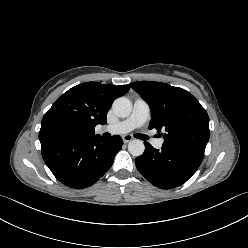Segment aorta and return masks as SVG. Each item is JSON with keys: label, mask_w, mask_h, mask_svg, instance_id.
Listing matches in <instances>:
<instances>
[{"label": "aorta", "mask_w": 248, "mask_h": 248, "mask_svg": "<svg viewBox=\"0 0 248 248\" xmlns=\"http://www.w3.org/2000/svg\"><path fill=\"white\" fill-rule=\"evenodd\" d=\"M112 108L118 117L125 118L128 117L132 112V103L126 97H119L113 102ZM144 150V143L139 139L131 140L128 144V151L133 156L142 155Z\"/></svg>", "instance_id": "obj_1"}]
</instances>
